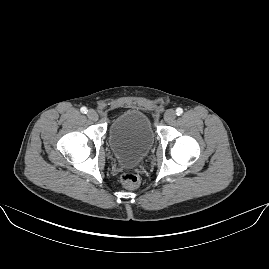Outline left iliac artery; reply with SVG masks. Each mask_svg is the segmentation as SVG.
Segmentation results:
<instances>
[{
  "mask_svg": "<svg viewBox=\"0 0 269 269\" xmlns=\"http://www.w3.org/2000/svg\"><path fill=\"white\" fill-rule=\"evenodd\" d=\"M183 113V109L182 108H177L176 109V114L179 116Z\"/></svg>",
  "mask_w": 269,
  "mask_h": 269,
  "instance_id": "1",
  "label": "left iliac artery"
}]
</instances>
